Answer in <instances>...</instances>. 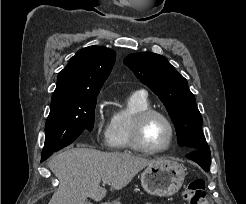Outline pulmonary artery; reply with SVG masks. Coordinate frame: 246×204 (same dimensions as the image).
Returning a JSON list of instances; mask_svg holds the SVG:
<instances>
[{
  "label": "pulmonary artery",
  "mask_w": 246,
  "mask_h": 204,
  "mask_svg": "<svg viewBox=\"0 0 246 204\" xmlns=\"http://www.w3.org/2000/svg\"><path fill=\"white\" fill-rule=\"evenodd\" d=\"M138 93L145 94V92L143 90L138 91Z\"/></svg>",
  "instance_id": "1"
}]
</instances>
